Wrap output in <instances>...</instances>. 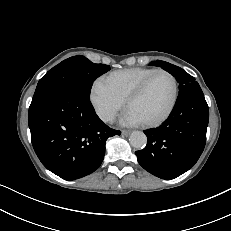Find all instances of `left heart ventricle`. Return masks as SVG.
<instances>
[{"label":"left heart ventricle","mask_w":231,"mask_h":231,"mask_svg":"<svg viewBox=\"0 0 231 231\" xmlns=\"http://www.w3.org/2000/svg\"><path fill=\"white\" fill-rule=\"evenodd\" d=\"M173 97V82L164 73L152 77L143 93L134 100L128 110L141 122L152 121L162 116Z\"/></svg>","instance_id":"obj_1"}]
</instances>
